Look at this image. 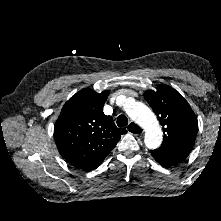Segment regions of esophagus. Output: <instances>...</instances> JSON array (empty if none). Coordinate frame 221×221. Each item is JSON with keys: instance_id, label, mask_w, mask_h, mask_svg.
Here are the masks:
<instances>
[{"instance_id": "esophagus-1", "label": "esophagus", "mask_w": 221, "mask_h": 221, "mask_svg": "<svg viewBox=\"0 0 221 221\" xmlns=\"http://www.w3.org/2000/svg\"><path fill=\"white\" fill-rule=\"evenodd\" d=\"M127 130L132 135H141V134H143V129L134 122H131L127 126Z\"/></svg>"}]
</instances>
